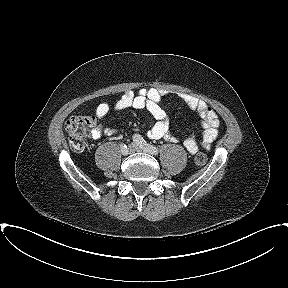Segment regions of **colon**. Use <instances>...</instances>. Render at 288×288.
Listing matches in <instances>:
<instances>
[{"mask_svg":"<svg viewBox=\"0 0 288 288\" xmlns=\"http://www.w3.org/2000/svg\"><path fill=\"white\" fill-rule=\"evenodd\" d=\"M95 123L94 116H72L66 121L65 128L70 144L75 151L83 150L86 139L91 135ZM194 160L197 165L203 166L207 162V157L204 153H198Z\"/></svg>","mask_w":288,"mask_h":288,"instance_id":"1","label":"colon"}]
</instances>
